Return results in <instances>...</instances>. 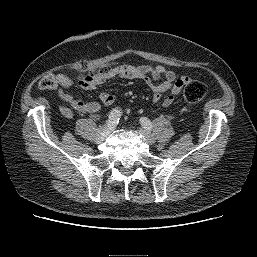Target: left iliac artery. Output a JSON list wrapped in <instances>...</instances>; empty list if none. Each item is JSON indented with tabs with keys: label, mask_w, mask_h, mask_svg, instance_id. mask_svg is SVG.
I'll return each mask as SVG.
<instances>
[{
	"label": "left iliac artery",
	"mask_w": 257,
	"mask_h": 257,
	"mask_svg": "<svg viewBox=\"0 0 257 257\" xmlns=\"http://www.w3.org/2000/svg\"><path fill=\"white\" fill-rule=\"evenodd\" d=\"M140 122H141V125L148 131H151L152 130V123L151 121L146 118V117H142L140 119Z\"/></svg>",
	"instance_id": "44dca946"
}]
</instances>
